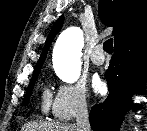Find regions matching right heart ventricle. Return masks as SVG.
<instances>
[{
  "mask_svg": "<svg viewBox=\"0 0 147 131\" xmlns=\"http://www.w3.org/2000/svg\"><path fill=\"white\" fill-rule=\"evenodd\" d=\"M51 104V94L48 89H45L42 94V111L47 112Z\"/></svg>",
  "mask_w": 147,
  "mask_h": 131,
  "instance_id": "e07e8e85",
  "label": "right heart ventricle"
}]
</instances>
